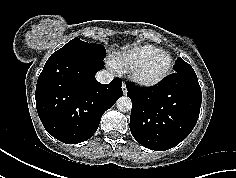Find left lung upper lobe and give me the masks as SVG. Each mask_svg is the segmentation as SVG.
I'll return each instance as SVG.
<instances>
[{
	"label": "left lung upper lobe",
	"instance_id": "1",
	"mask_svg": "<svg viewBox=\"0 0 236 178\" xmlns=\"http://www.w3.org/2000/svg\"><path fill=\"white\" fill-rule=\"evenodd\" d=\"M174 70L177 73H195L193 68L184 60H182L180 57L178 58Z\"/></svg>",
	"mask_w": 236,
	"mask_h": 178
}]
</instances>
